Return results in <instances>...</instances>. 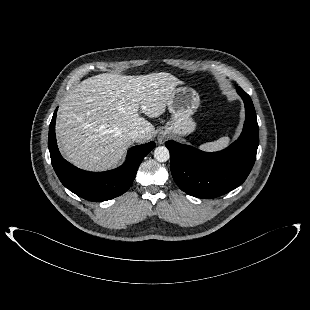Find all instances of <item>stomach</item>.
I'll list each match as a JSON object with an SVG mask.
<instances>
[{
  "label": "stomach",
  "instance_id": "stomach-1",
  "mask_svg": "<svg viewBox=\"0 0 310 310\" xmlns=\"http://www.w3.org/2000/svg\"><path fill=\"white\" fill-rule=\"evenodd\" d=\"M199 105L200 98L194 89L187 86L175 88L167 101V107L172 116L161 133L181 136L192 133L196 128L192 115Z\"/></svg>",
  "mask_w": 310,
  "mask_h": 310
}]
</instances>
